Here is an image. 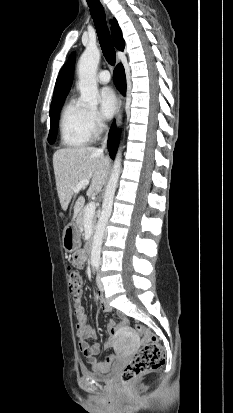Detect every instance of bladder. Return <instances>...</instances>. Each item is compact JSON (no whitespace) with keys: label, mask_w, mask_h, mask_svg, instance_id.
<instances>
[{"label":"bladder","mask_w":233,"mask_h":413,"mask_svg":"<svg viewBox=\"0 0 233 413\" xmlns=\"http://www.w3.org/2000/svg\"><path fill=\"white\" fill-rule=\"evenodd\" d=\"M82 375L94 381L105 382V383L111 381L113 377V374L110 371L99 372V371L82 370Z\"/></svg>","instance_id":"1"}]
</instances>
